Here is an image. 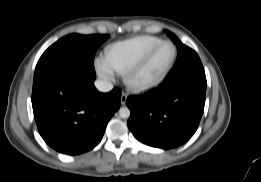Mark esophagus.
Returning a JSON list of instances; mask_svg holds the SVG:
<instances>
[{
    "label": "esophagus",
    "mask_w": 261,
    "mask_h": 182,
    "mask_svg": "<svg viewBox=\"0 0 261 182\" xmlns=\"http://www.w3.org/2000/svg\"><path fill=\"white\" fill-rule=\"evenodd\" d=\"M128 95L126 93L121 94V105H125Z\"/></svg>",
    "instance_id": "1"
}]
</instances>
